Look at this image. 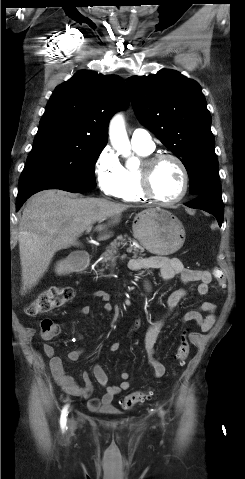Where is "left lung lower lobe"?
Listing matches in <instances>:
<instances>
[{
	"instance_id": "obj_1",
	"label": "left lung lower lobe",
	"mask_w": 245,
	"mask_h": 479,
	"mask_svg": "<svg viewBox=\"0 0 245 479\" xmlns=\"http://www.w3.org/2000/svg\"><path fill=\"white\" fill-rule=\"evenodd\" d=\"M186 206L190 208L201 209L214 215L219 226L222 225L224 207L220 184L214 185L211 188L203 191L195 200L187 203Z\"/></svg>"
}]
</instances>
